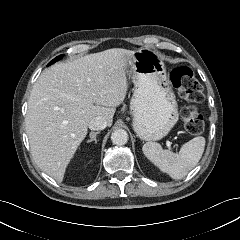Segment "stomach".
Returning a JSON list of instances; mask_svg holds the SVG:
<instances>
[{"label":"stomach","instance_id":"obj_1","mask_svg":"<svg viewBox=\"0 0 240 240\" xmlns=\"http://www.w3.org/2000/svg\"><path fill=\"white\" fill-rule=\"evenodd\" d=\"M134 83L130 102L132 126L144 141L165 137L179 118L174 92L169 86L162 56L151 49L134 52L126 70Z\"/></svg>","mask_w":240,"mask_h":240}]
</instances>
